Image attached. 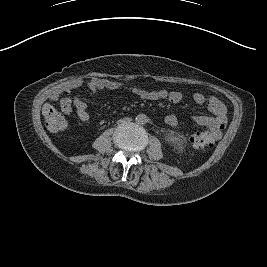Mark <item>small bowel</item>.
Listing matches in <instances>:
<instances>
[{
	"label": "small bowel",
	"mask_w": 267,
	"mask_h": 267,
	"mask_svg": "<svg viewBox=\"0 0 267 267\" xmlns=\"http://www.w3.org/2000/svg\"><path fill=\"white\" fill-rule=\"evenodd\" d=\"M81 83L79 81L69 82L62 90L64 94H69L72 90L77 88ZM88 87L93 95L98 94L103 89L119 88L121 84L118 82L107 81L99 78H93L88 81ZM133 93L142 100H167L170 103H179L183 99V94L175 90L156 89L148 91L142 88H133ZM192 101L201 106H206L212 116H193L192 122L204 126L208 129L205 132H198L208 138L210 144L219 140L222 137L223 130L227 123L226 107L224 104L214 96L206 95L196 92L192 95ZM73 106L76 110L78 118L82 122H87L90 118L87 110V103L83 94H77L71 101L67 97L60 99V107L66 114L71 113ZM166 125L175 127L178 125V119L175 115H167L164 119ZM196 134V133H195Z\"/></svg>",
	"instance_id": "c3829d8e"
}]
</instances>
